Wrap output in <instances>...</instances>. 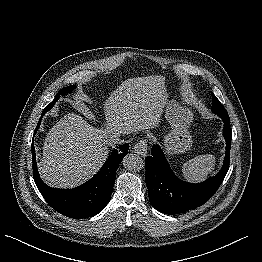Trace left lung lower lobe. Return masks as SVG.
Returning a JSON list of instances; mask_svg holds the SVG:
<instances>
[{
    "instance_id": "1",
    "label": "left lung lower lobe",
    "mask_w": 262,
    "mask_h": 262,
    "mask_svg": "<svg viewBox=\"0 0 262 262\" xmlns=\"http://www.w3.org/2000/svg\"><path fill=\"white\" fill-rule=\"evenodd\" d=\"M224 122L223 135L226 140V153L220 172L198 184L180 180L171 170L159 145L151 149V156L145 159V181L152 206L159 212L169 215L179 214L203 205L217 191L224 180L230 159L232 131L228 113L217 114Z\"/></svg>"
}]
</instances>
